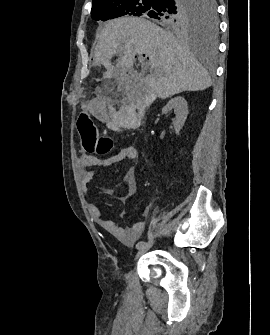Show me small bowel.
I'll use <instances>...</instances> for the list:
<instances>
[{
    "mask_svg": "<svg viewBox=\"0 0 270 335\" xmlns=\"http://www.w3.org/2000/svg\"><path fill=\"white\" fill-rule=\"evenodd\" d=\"M98 117H103V115L97 114ZM138 157L137 149L134 146H126L118 151L116 154L108 157L107 159L100 161L93 155L82 154L79 157V172L81 182L84 187H86L90 181L96 176V172L92 169L96 166H110L113 164L120 163L125 160H135ZM125 181V191L120 196V201L123 204H127L133 198L137 189L136 182V171L134 167L127 169L124 177ZM88 210L94 221L106 232L112 234L120 242L125 245L133 244L136 240L140 238L145 229L144 222H134L131 226L127 228H122L117 226L113 221L103 218L102 213L98 206L93 203L88 205ZM119 216L121 218L126 217V212L122 211Z\"/></svg>",
    "mask_w": 270,
    "mask_h": 335,
    "instance_id": "obj_1",
    "label": "small bowel"
}]
</instances>
